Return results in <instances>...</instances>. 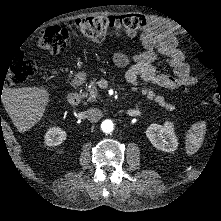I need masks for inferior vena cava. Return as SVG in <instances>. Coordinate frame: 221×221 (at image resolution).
Returning <instances> with one entry per match:
<instances>
[{
	"label": "inferior vena cava",
	"instance_id": "1",
	"mask_svg": "<svg viewBox=\"0 0 221 221\" xmlns=\"http://www.w3.org/2000/svg\"><path fill=\"white\" fill-rule=\"evenodd\" d=\"M86 117L90 122H98L102 117L103 113L99 108H90L86 112Z\"/></svg>",
	"mask_w": 221,
	"mask_h": 221
}]
</instances>
